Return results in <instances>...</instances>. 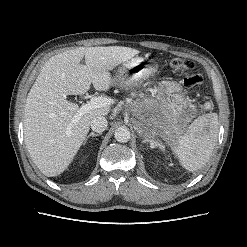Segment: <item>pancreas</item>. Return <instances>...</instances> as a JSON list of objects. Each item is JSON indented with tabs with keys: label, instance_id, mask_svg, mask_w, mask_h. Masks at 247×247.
Listing matches in <instances>:
<instances>
[{
	"label": "pancreas",
	"instance_id": "obj_1",
	"mask_svg": "<svg viewBox=\"0 0 247 247\" xmlns=\"http://www.w3.org/2000/svg\"><path fill=\"white\" fill-rule=\"evenodd\" d=\"M131 96H132L133 98H135V97H137L138 95H137L135 92H133V93L131 94ZM139 96H142V94H140ZM129 104L133 106L134 111H136V110L138 109V107H139V101H138V100H136V101H134V102H129Z\"/></svg>",
	"mask_w": 247,
	"mask_h": 247
}]
</instances>
